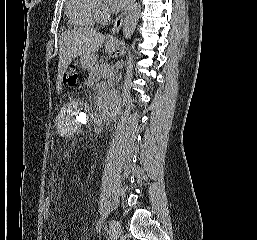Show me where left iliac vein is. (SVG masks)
Masks as SVG:
<instances>
[{
    "mask_svg": "<svg viewBox=\"0 0 257 240\" xmlns=\"http://www.w3.org/2000/svg\"><path fill=\"white\" fill-rule=\"evenodd\" d=\"M122 227L118 220L112 219L109 224V238L110 240H117L121 235Z\"/></svg>",
    "mask_w": 257,
    "mask_h": 240,
    "instance_id": "4c4485c4",
    "label": "left iliac vein"
}]
</instances>
